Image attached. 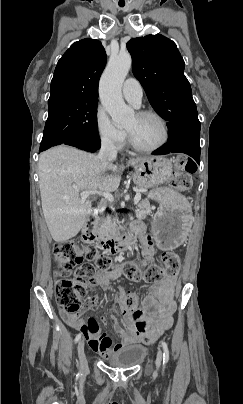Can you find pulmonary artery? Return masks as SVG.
Segmentation results:
<instances>
[{"label":"pulmonary artery","instance_id":"1","mask_svg":"<svg viewBox=\"0 0 243 404\" xmlns=\"http://www.w3.org/2000/svg\"><path fill=\"white\" fill-rule=\"evenodd\" d=\"M123 96L135 106L139 105L143 96L141 83L133 77H128L122 85Z\"/></svg>","mask_w":243,"mask_h":404}]
</instances>
